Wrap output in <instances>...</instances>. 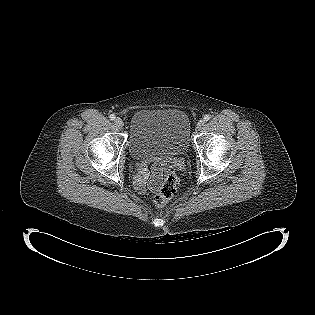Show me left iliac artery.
Here are the masks:
<instances>
[{
	"label": "left iliac artery",
	"mask_w": 315,
	"mask_h": 315,
	"mask_svg": "<svg viewBox=\"0 0 315 315\" xmlns=\"http://www.w3.org/2000/svg\"><path fill=\"white\" fill-rule=\"evenodd\" d=\"M210 118H211V116H210V115H208V114H206V115L204 116V120H205V121L210 120Z\"/></svg>",
	"instance_id": "obj_1"
}]
</instances>
